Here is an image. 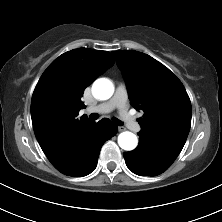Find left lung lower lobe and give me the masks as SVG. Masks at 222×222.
I'll list each match as a JSON object with an SVG mask.
<instances>
[{"label": "left lung lower lobe", "instance_id": "1", "mask_svg": "<svg viewBox=\"0 0 222 222\" xmlns=\"http://www.w3.org/2000/svg\"><path fill=\"white\" fill-rule=\"evenodd\" d=\"M127 167L137 175L156 176L167 170L176 157L159 147L152 140L139 138L138 147L125 152Z\"/></svg>", "mask_w": 222, "mask_h": 222}]
</instances>
